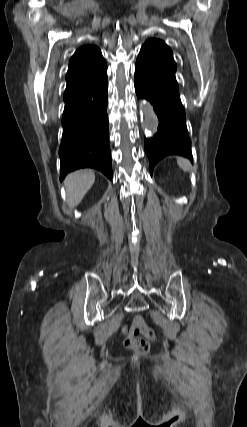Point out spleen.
I'll list each match as a JSON object with an SVG mask.
<instances>
[{"mask_svg":"<svg viewBox=\"0 0 247 427\" xmlns=\"http://www.w3.org/2000/svg\"><path fill=\"white\" fill-rule=\"evenodd\" d=\"M177 164L183 171H190L192 169L190 162L185 158H178Z\"/></svg>","mask_w":247,"mask_h":427,"instance_id":"spleen-1","label":"spleen"}]
</instances>
